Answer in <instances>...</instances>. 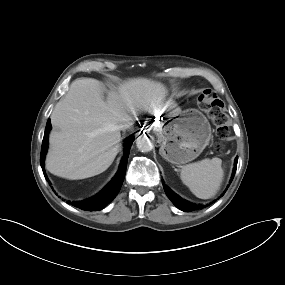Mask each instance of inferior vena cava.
Segmentation results:
<instances>
[{"instance_id": "obj_1", "label": "inferior vena cava", "mask_w": 285, "mask_h": 285, "mask_svg": "<svg viewBox=\"0 0 285 285\" xmlns=\"http://www.w3.org/2000/svg\"><path fill=\"white\" fill-rule=\"evenodd\" d=\"M134 124V119L132 117H129L123 124L120 126V130H126L129 129Z\"/></svg>"}]
</instances>
